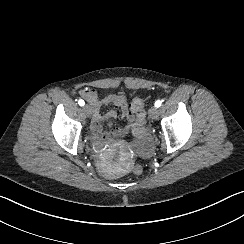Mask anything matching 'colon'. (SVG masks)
Returning <instances> with one entry per match:
<instances>
[{
  "instance_id": "5ec220e1",
  "label": "colon",
  "mask_w": 244,
  "mask_h": 244,
  "mask_svg": "<svg viewBox=\"0 0 244 244\" xmlns=\"http://www.w3.org/2000/svg\"><path fill=\"white\" fill-rule=\"evenodd\" d=\"M92 94L91 91H87V95ZM131 112L133 116L136 118L134 125L132 127L133 133L136 135H141L145 132V121H146V113H145V105L144 99L142 97L135 98L130 105ZM133 172L136 175H141L144 172V167L141 164H136L133 167Z\"/></svg>"
}]
</instances>
